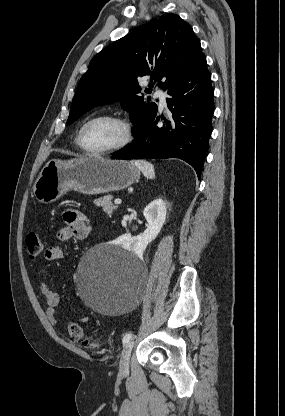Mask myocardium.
I'll list each match as a JSON object with an SVG mask.
<instances>
[{"mask_svg": "<svg viewBox=\"0 0 285 416\" xmlns=\"http://www.w3.org/2000/svg\"><path fill=\"white\" fill-rule=\"evenodd\" d=\"M102 119L112 121L119 126L121 130V134H122L121 140L115 146L105 149V150L95 151V150L88 149L83 143V138H82L83 132L85 128L87 127V125H89L91 122L96 121V120H102ZM131 137H132L131 127L126 120L114 114L103 113V114H97V115L92 116L81 126L77 135V144L79 148L87 155L96 156V157L108 156V155H113L124 150L129 145L131 141Z\"/></svg>", "mask_w": 285, "mask_h": 416, "instance_id": "obj_1", "label": "myocardium"}]
</instances>
